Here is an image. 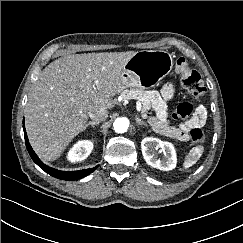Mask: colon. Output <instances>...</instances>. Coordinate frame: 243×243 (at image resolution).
<instances>
[{
	"label": "colon",
	"mask_w": 243,
	"mask_h": 243,
	"mask_svg": "<svg viewBox=\"0 0 243 243\" xmlns=\"http://www.w3.org/2000/svg\"><path fill=\"white\" fill-rule=\"evenodd\" d=\"M175 70L181 75V83L183 87L196 97H201L206 93V87L201 75L190 68L188 61L185 58H178L175 62ZM193 115V107L189 103L179 104L173 117L175 119H188ZM191 141L201 143L205 136L203 131L198 128H192L189 131Z\"/></svg>",
	"instance_id": "colon-1"
}]
</instances>
